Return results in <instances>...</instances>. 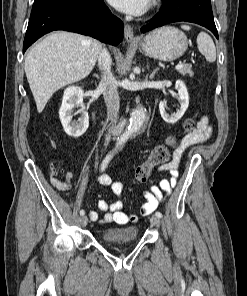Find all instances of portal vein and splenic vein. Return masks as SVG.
<instances>
[{"mask_svg":"<svg viewBox=\"0 0 247 296\" xmlns=\"http://www.w3.org/2000/svg\"><path fill=\"white\" fill-rule=\"evenodd\" d=\"M182 67H183V63H182V62H179V63L176 65L175 69L179 70V69H181Z\"/></svg>","mask_w":247,"mask_h":296,"instance_id":"obj_1","label":"portal vein and splenic vein"}]
</instances>
